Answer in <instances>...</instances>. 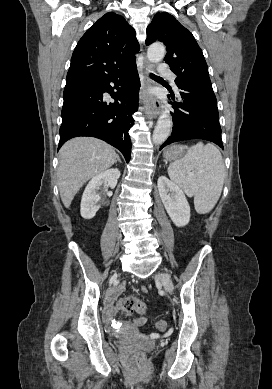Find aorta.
<instances>
[{
	"mask_svg": "<svg viewBox=\"0 0 272 389\" xmlns=\"http://www.w3.org/2000/svg\"><path fill=\"white\" fill-rule=\"evenodd\" d=\"M165 47L161 43H153L149 46L147 51V57L153 64L159 63L165 57ZM172 120L167 111L163 112L155 126L153 132L154 144H162L171 134Z\"/></svg>",
	"mask_w": 272,
	"mask_h": 389,
	"instance_id": "762f6f07",
	"label": "aorta"
}]
</instances>
